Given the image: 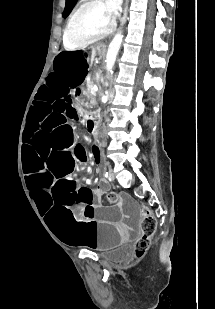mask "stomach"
<instances>
[{
	"instance_id": "0dacf381",
	"label": "stomach",
	"mask_w": 215,
	"mask_h": 309,
	"mask_svg": "<svg viewBox=\"0 0 215 309\" xmlns=\"http://www.w3.org/2000/svg\"><path fill=\"white\" fill-rule=\"evenodd\" d=\"M96 50H97V52L99 53V54H102L103 53V51H104V49H103V47L102 46H98L97 48H96ZM86 96H88V94L87 93H84Z\"/></svg>"
}]
</instances>
